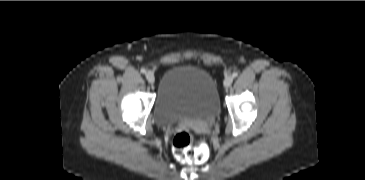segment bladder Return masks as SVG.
<instances>
[{"label":"bladder","mask_w":365,"mask_h":180,"mask_svg":"<svg viewBox=\"0 0 365 180\" xmlns=\"http://www.w3.org/2000/svg\"><path fill=\"white\" fill-rule=\"evenodd\" d=\"M220 110L217 83L205 69L179 64L165 70L156 92L153 115L161 126L181 121H209Z\"/></svg>","instance_id":"1"}]
</instances>
